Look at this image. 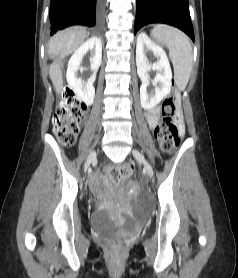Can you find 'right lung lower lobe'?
<instances>
[{
  "instance_id": "98d812e1",
  "label": "right lung lower lobe",
  "mask_w": 238,
  "mask_h": 278,
  "mask_svg": "<svg viewBox=\"0 0 238 278\" xmlns=\"http://www.w3.org/2000/svg\"><path fill=\"white\" fill-rule=\"evenodd\" d=\"M103 0H51V34L72 25L95 26L101 19Z\"/></svg>"
}]
</instances>
